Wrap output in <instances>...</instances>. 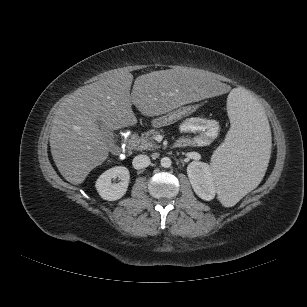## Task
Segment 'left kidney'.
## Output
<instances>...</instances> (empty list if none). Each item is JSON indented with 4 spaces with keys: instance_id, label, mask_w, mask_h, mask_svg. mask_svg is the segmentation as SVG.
<instances>
[{
    "instance_id": "left-kidney-1",
    "label": "left kidney",
    "mask_w": 307,
    "mask_h": 307,
    "mask_svg": "<svg viewBox=\"0 0 307 307\" xmlns=\"http://www.w3.org/2000/svg\"><path fill=\"white\" fill-rule=\"evenodd\" d=\"M187 174L194 192L203 200L215 197L216 187L211 167L204 162L193 161L187 167Z\"/></svg>"
}]
</instances>
